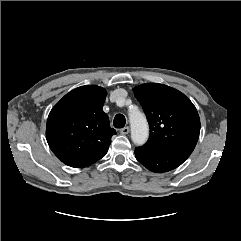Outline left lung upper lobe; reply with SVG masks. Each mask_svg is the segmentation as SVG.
I'll return each instance as SVG.
<instances>
[{
	"instance_id": "1",
	"label": "left lung upper lobe",
	"mask_w": 241,
	"mask_h": 241,
	"mask_svg": "<svg viewBox=\"0 0 241 241\" xmlns=\"http://www.w3.org/2000/svg\"><path fill=\"white\" fill-rule=\"evenodd\" d=\"M150 126L146 146L192 153L199 138L200 119L193 103L180 91L149 83L134 89Z\"/></svg>"
}]
</instances>
